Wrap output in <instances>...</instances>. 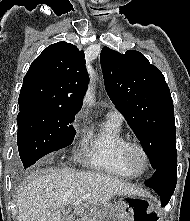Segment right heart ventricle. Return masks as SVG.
Wrapping results in <instances>:
<instances>
[{
	"mask_svg": "<svg viewBox=\"0 0 190 221\" xmlns=\"http://www.w3.org/2000/svg\"><path fill=\"white\" fill-rule=\"evenodd\" d=\"M87 141L86 163L90 168L125 178L138 175L125 160L129 139L121 120L108 117L99 130L88 134Z\"/></svg>",
	"mask_w": 190,
	"mask_h": 221,
	"instance_id": "1",
	"label": "right heart ventricle"
}]
</instances>
